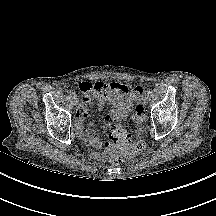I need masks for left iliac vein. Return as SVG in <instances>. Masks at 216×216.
<instances>
[{"mask_svg": "<svg viewBox=\"0 0 216 216\" xmlns=\"http://www.w3.org/2000/svg\"><path fill=\"white\" fill-rule=\"evenodd\" d=\"M149 101V98L148 96L146 95L144 98H143V104H147Z\"/></svg>", "mask_w": 216, "mask_h": 216, "instance_id": "obj_1", "label": "left iliac vein"}]
</instances>
